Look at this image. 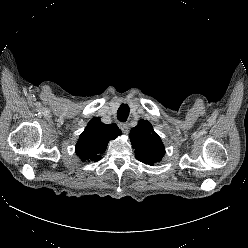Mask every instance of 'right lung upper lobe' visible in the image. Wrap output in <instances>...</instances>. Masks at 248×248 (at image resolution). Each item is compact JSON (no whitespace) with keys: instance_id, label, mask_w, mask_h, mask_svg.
I'll return each mask as SVG.
<instances>
[{"instance_id":"cb5924a9","label":"right lung upper lobe","mask_w":248,"mask_h":248,"mask_svg":"<svg viewBox=\"0 0 248 248\" xmlns=\"http://www.w3.org/2000/svg\"><path fill=\"white\" fill-rule=\"evenodd\" d=\"M121 134L115 123L104 124L100 118L94 117L81 133L76 144V153L83 162L98 161L106 150L108 142Z\"/></svg>"}]
</instances>
